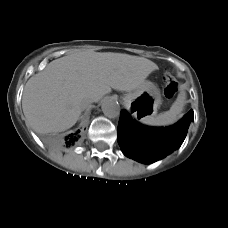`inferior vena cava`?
I'll list each match as a JSON object with an SVG mask.
<instances>
[{"label": "inferior vena cava", "mask_w": 228, "mask_h": 228, "mask_svg": "<svg viewBox=\"0 0 228 228\" xmlns=\"http://www.w3.org/2000/svg\"><path fill=\"white\" fill-rule=\"evenodd\" d=\"M92 102H93L92 99L89 97L83 98L80 103L82 110L86 109Z\"/></svg>", "instance_id": "1"}]
</instances>
